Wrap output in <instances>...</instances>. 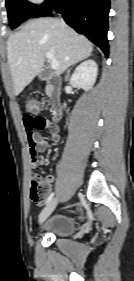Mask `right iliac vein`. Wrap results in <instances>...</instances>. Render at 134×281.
<instances>
[{"label": "right iliac vein", "instance_id": "obj_1", "mask_svg": "<svg viewBox=\"0 0 134 281\" xmlns=\"http://www.w3.org/2000/svg\"><path fill=\"white\" fill-rule=\"evenodd\" d=\"M58 197H55L54 199H52L49 204L44 208V210L41 212L40 215V222H43L55 209V207L58 204Z\"/></svg>", "mask_w": 134, "mask_h": 281}]
</instances>
